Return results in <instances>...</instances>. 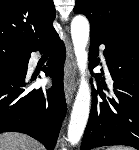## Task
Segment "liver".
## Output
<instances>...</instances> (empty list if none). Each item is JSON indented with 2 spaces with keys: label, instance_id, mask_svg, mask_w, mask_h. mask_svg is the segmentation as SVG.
I'll return each instance as SVG.
<instances>
[{
  "label": "liver",
  "instance_id": "1",
  "mask_svg": "<svg viewBox=\"0 0 139 150\" xmlns=\"http://www.w3.org/2000/svg\"><path fill=\"white\" fill-rule=\"evenodd\" d=\"M0 150H40V145L27 135L4 133L0 134Z\"/></svg>",
  "mask_w": 139,
  "mask_h": 150
}]
</instances>
